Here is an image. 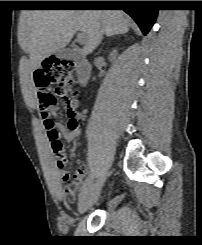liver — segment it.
I'll return each instance as SVG.
<instances>
[{
  "mask_svg": "<svg viewBox=\"0 0 202 245\" xmlns=\"http://www.w3.org/2000/svg\"><path fill=\"white\" fill-rule=\"evenodd\" d=\"M130 19L119 10H35L20 37V46L30 55L35 70L51 54L64 48L77 31L85 33L83 54L93 52L100 35L129 31Z\"/></svg>",
  "mask_w": 202,
  "mask_h": 245,
  "instance_id": "obj_1",
  "label": "liver"
}]
</instances>
